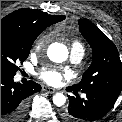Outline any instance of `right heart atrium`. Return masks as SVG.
I'll return each mask as SVG.
<instances>
[{
    "label": "right heart atrium",
    "mask_w": 122,
    "mask_h": 122,
    "mask_svg": "<svg viewBox=\"0 0 122 122\" xmlns=\"http://www.w3.org/2000/svg\"><path fill=\"white\" fill-rule=\"evenodd\" d=\"M46 42V39L45 38H40L37 40L36 42V48L39 49L41 48Z\"/></svg>",
    "instance_id": "obj_1"
}]
</instances>
